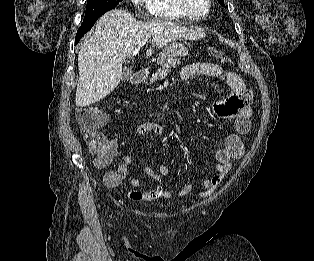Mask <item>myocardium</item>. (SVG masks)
Masks as SVG:
<instances>
[{
  "label": "myocardium",
  "mask_w": 314,
  "mask_h": 261,
  "mask_svg": "<svg viewBox=\"0 0 314 261\" xmlns=\"http://www.w3.org/2000/svg\"><path fill=\"white\" fill-rule=\"evenodd\" d=\"M206 1H207L206 10L202 13H197L188 5L187 0H177L179 6L185 13H187L192 18H197V19L206 16L210 12L212 8V0H206Z\"/></svg>",
  "instance_id": "obj_1"
}]
</instances>
